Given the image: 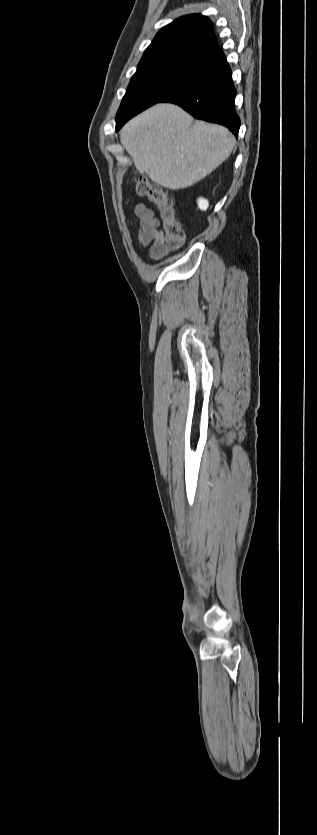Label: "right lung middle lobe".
Returning <instances> with one entry per match:
<instances>
[{
  "label": "right lung middle lobe",
  "instance_id": "obj_1",
  "mask_svg": "<svg viewBox=\"0 0 317 835\" xmlns=\"http://www.w3.org/2000/svg\"><path fill=\"white\" fill-rule=\"evenodd\" d=\"M205 80L206 76L194 66L190 58L137 71L118 109L116 131L149 106Z\"/></svg>",
  "mask_w": 317,
  "mask_h": 835
}]
</instances>
